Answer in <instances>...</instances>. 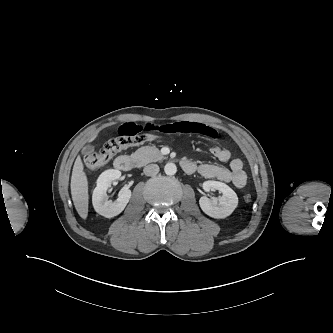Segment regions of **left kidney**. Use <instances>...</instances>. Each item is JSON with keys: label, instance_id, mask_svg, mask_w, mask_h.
I'll return each instance as SVG.
<instances>
[{"label": "left kidney", "instance_id": "5707ae66", "mask_svg": "<svg viewBox=\"0 0 333 333\" xmlns=\"http://www.w3.org/2000/svg\"><path fill=\"white\" fill-rule=\"evenodd\" d=\"M203 188L205 191L216 189L223 194L220 198L209 199L202 196L199 199V205L205 214L215 219L226 218L232 214L238 205V197L228 185L219 181H205Z\"/></svg>", "mask_w": 333, "mask_h": 333}]
</instances>
